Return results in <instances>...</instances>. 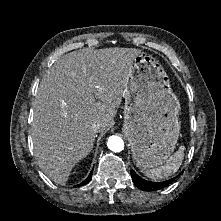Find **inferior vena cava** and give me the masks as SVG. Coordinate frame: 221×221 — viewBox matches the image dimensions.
I'll return each mask as SVG.
<instances>
[{"label": "inferior vena cava", "instance_id": "1", "mask_svg": "<svg viewBox=\"0 0 221 221\" xmlns=\"http://www.w3.org/2000/svg\"><path fill=\"white\" fill-rule=\"evenodd\" d=\"M102 124L100 122H95L93 125H92V128L94 131H98L100 128H101Z\"/></svg>", "mask_w": 221, "mask_h": 221}]
</instances>
